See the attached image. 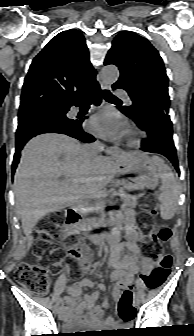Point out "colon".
<instances>
[{
    "instance_id": "colon-1",
    "label": "colon",
    "mask_w": 194,
    "mask_h": 336,
    "mask_svg": "<svg viewBox=\"0 0 194 336\" xmlns=\"http://www.w3.org/2000/svg\"><path fill=\"white\" fill-rule=\"evenodd\" d=\"M142 206L140 223L144 227V233L141 245L150 258L159 261L155 270L149 274L143 273V279L148 288L155 289L166 280L173 263L172 256L164 252L162 248V244L169 239L171 232L168 227L155 223L156 209L150 199H144ZM62 221L61 213L49 215L38 224L35 233L37 254L49 256L55 264L60 263L63 257L58 243L59 225ZM14 277L18 283L34 294L45 295L49 290L50 278L45 266L19 263L14 270ZM122 298L123 300L130 299V291H125Z\"/></svg>"
}]
</instances>
